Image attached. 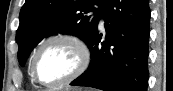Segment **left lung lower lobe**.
<instances>
[{
    "label": "left lung lower lobe",
    "mask_w": 173,
    "mask_h": 91,
    "mask_svg": "<svg viewBox=\"0 0 173 91\" xmlns=\"http://www.w3.org/2000/svg\"><path fill=\"white\" fill-rule=\"evenodd\" d=\"M105 40L98 27L87 44L91 63L71 82L105 91H147L150 9L148 0H107L103 5Z\"/></svg>",
    "instance_id": "0a47b994"
}]
</instances>
